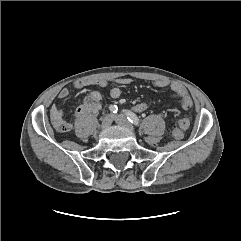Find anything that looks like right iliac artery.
Here are the masks:
<instances>
[{"label": "right iliac artery", "instance_id": "obj_1", "mask_svg": "<svg viewBox=\"0 0 241 241\" xmlns=\"http://www.w3.org/2000/svg\"><path fill=\"white\" fill-rule=\"evenodd\" d=\"M110 111L114 114H116L118 112V107L116 105H111L109 107Z\"/></svg>", "mask_w": 241, "mask_h": 241}]
</instances>
